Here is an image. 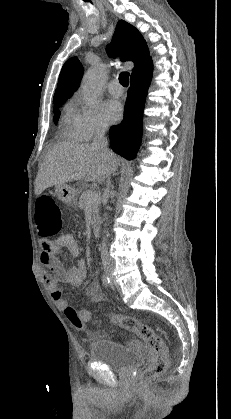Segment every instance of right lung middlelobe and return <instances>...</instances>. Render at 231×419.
<instances>
[{
    "mask_svg": "<svg viewBox=\"0 0 231 419\" xmlns=\"http://www.w3.org/2000/svg\"><path fill=\"white\" fill-rule=\"evenodd\" d=\"M66 101V99H61V100H56L53 101L54 102V122L57 123L59 116H60V111H58V107H60L62 104H64V102Z\"/></svg>",
    "mask_w": 231,
    "mask_h": 419,
    "instance_id": "right-lung-middle-lobe-1",
    "label": "right lung middle lobe"
}]
</instances>
